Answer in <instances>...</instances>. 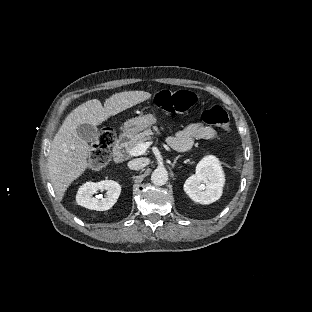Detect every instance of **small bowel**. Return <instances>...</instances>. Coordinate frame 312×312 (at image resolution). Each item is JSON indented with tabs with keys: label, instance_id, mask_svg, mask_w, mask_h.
<instances>
[{
	"label": "small bowel",
	"instance_id": "c3829d8e",
	"mask_svg": "<svg viewBox=\"0 0 312 312\" xmlns=\"http://www.w3.org/2000/svg\"><path fill=\"white\" fill-rule=\"evenodd\" d=\"M216 135V131L203 123L197 122L177 131L168 140L176 150L185 152L190 150L197 140H210Z\"/></svg>",
	"mask_w": 312,
	"mask_h": 312
}]
</instances>
